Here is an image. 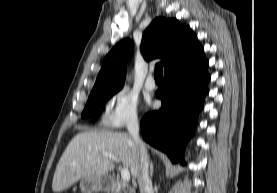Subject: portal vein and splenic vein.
I'll return each instance as SVG.
<instances>
[{
    "mask_svg": "<svg viewBox=\"0 0 277 193\" xmlns=\"http://www.w3.org/2000/svg\"><path fill=\"white\" fill-rule=\"evenodd\" d=\"M104 157H107L109 159H112L114 160L115 162L119 163V160L116 156H114L113 154H110V153H103L102 154ZM121 178L124 182H129L130 180V172L127 168H122L121 169Z\"/></svg>",
    "mask_w": 277,
    "mask_h": 193,
    "instance_id": "18ae733b",
    "label": "portal vein and splenic vein"
}]
</instances>
